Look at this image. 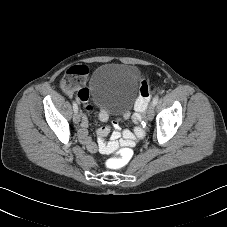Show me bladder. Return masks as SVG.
Listing matches in <instances>:
<instances>
[{
  "instance_id": "obj_1",
  "label": "bladder",
  "mask_w": 227,
  "mask_h": 227,
  "mask_svg": "<svg viewBox=\"0 0 227 227\" xmlns=\"http://www.w3.org/2000/svg\"><path fill=\"white\" fill-rule=\"evenodd\" d=\"M139 69L130 64L105 63L90 80L89 92L98 108L114 115L126 112L138 93Z\"/></svg>"
}]
</instances>
